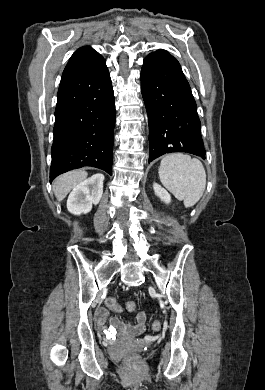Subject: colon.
Returning <instances> with one entry per match:
<instances>
[{
	"mask_svg": "<svg viewBox=\"0 0 265 390\" xmlns=\"http://www.w3.org/2000/svg\"><path fill=\"white\" fill-rule=\"evenodd\" d=\"M106 306L114 311V312H120L121 306L119 305L117 299L115 297H108L105 301ZM126 309L129 312H134L137 309V304L134 301H128L126 303ZM152 329L154 331H159L161 329V322L156 320L152 323ZM130 360H136L135 356H132Z\"/></svg>",
	"mask_w": 265,
	"mask_h": 390,
	"instance_id": "colon-1",
	"label": "colon"
}]
</instances>
